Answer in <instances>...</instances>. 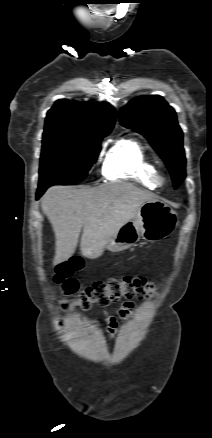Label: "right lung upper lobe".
<instances>
[{"label":"right lung upper lobe","mask_w":212,"mask_h":438,"mask_svg":"<svg viewBox=\"0 0 212 438\" xmlns=\"http://www.w3.org/2000/svg\"><path fill=\"white\" fill-rule=\"evenodd\" d=\"M115 113L108 103L57 100L47 112L43 134L73 136L108 135L114 127Z\"/></svg>","instance_id":"right-lung-upper-lobe-1"}]
</instances>
